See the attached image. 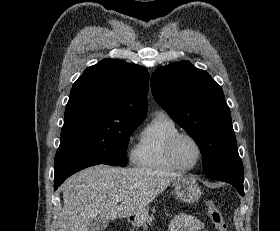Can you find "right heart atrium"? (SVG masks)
<instances>
[{
    "label": "right heart atrium",
    "instance_id": "d8ad5b80",
    "mask_svg": "<svg viewBox=\"0 0 280 231\" xmlns=\"http://www.w3.org/2000/svg\"><path fill=\"white\" fill-rule=\"evenodd\" d=\"M129 156H130L131 159H134V150L130 151Z\"/></svg>",
    "mask_w": 280,
    "mask_h": 231
}]
</instances>
